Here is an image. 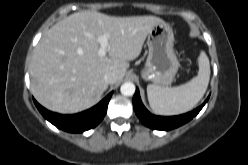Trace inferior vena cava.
Returning <instances> with one entry per match:
<instances>
[{"mask_svg":"<svg viewBox=\"0 0 248 165\" xmlns=\"http://www.w3.org/2000/svg\"><path fill=\"white\" fill-rule=\"evenodd\" d=\"M117 80V75L114 72H108L104 75V81L107 84H114Z\"/></svg>","mask_w":248,"mask_h":165,"instance_id":"602c4592","label":"inferior vena cava"}]
</instances>
